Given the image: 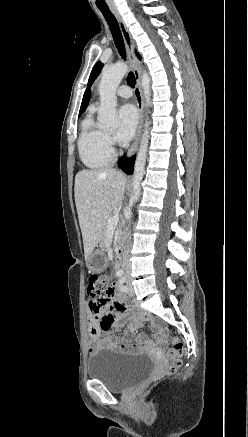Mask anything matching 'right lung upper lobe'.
Listing matches in <instances>:
<instances>
[{
    "instance_id": "right-lung-upper-lobe-1",
    "label": "right lung upper lobe",
    "mask_w": 248,
    "mask_h": 437,
    "mask_svg": "<svg viewBox=\"0 0 248 437\" xmlns=\"http://www.w3.org/2000/svg\"><path fill=\"white\" fill-rule=\"evenodd\" d=\"M90 96H91V93L89 90L84 93L81 108H80V114L83 113L84 110L86 109V107L88 106Z\"/></svg>"
}]
</instances>
